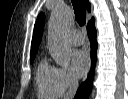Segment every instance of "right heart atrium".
<instances>
[{
    "label": "right heart atrium",
    "mask_w": 128,
    "mask_h": 99,
    "mask_svg": "<svg viewBox=\"0 0 128 99\" xmlns=\"http://www.w3.org/2000/svg\"><path fill=\"white\" fill-rule=\"evenodd\" d=\"M56 70L58 83L63 92L77 85V77L69 67L61 66L57 67Z\"/></svg>",
    "instance_id": "d8ad5b80"
}]
</instances>
